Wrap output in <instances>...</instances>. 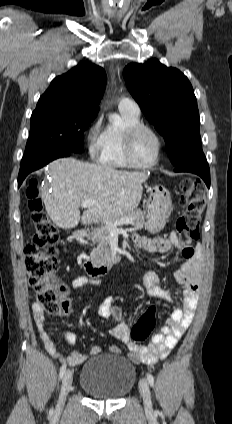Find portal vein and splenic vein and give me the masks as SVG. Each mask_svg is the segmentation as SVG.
Wrapping results in <instances>:
<instances>
[{"label": "portal vein and splenic vein", "instance_id": "portal-vein-and-splenic-vein-1", "mask_svg": "<svg viewBox=\"0 0 232 424\" xmlns=\"http://www.w3.org/2000/svg\"><path fill=\"white\" fill-rule=\"evenodd\" d=\"M96 202L92 201V200H87V201H83L81 203V206L83 208H89L93 205H95ZM132 222L131 218H121L113 223L107 224L108 229L111 231V233H118L120 231V229H118V225H122V224H130Z\"/></svg>", "mask_w": 232, "mask_h": 424}]
</instances>
